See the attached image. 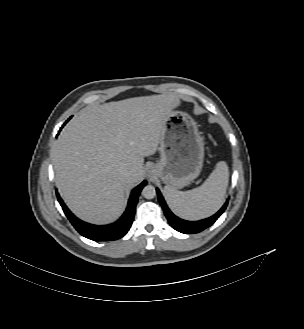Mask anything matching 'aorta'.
<instances>
[{"label":"aorta","mask_w":304,"mask_h":329,"mask_svg":"<svg viewBox=\"0 0 304 329\" xmlns=\"http://www.w3.org/2000/svg\"><path fill=\"white\" fill-rule=\"evenodd\" d=\"M142 195L146 199H152L156 196V190L152 185H147L143 188Z\"/></svg>","instance_id":"obj_1"}]
</instances>
